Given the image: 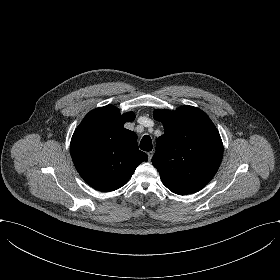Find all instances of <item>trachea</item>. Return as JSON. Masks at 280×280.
I'll use <instances>...</instances> for the list:
<instances>
[{"label":"trachea","instance_id":"trachea-1","mask_svg":"<svg viewBox=\"0 0 280 280\" xmlns=\"http://www.w3.org/2000/svg\"><path fill=\"white\" fill-rule=\"evenodd\" d=\"M140 149L144 150V151H151L152 150V140H151L150 136L145 135L141 139Z\"/></svg>","mask_w":280,"mask_h":280}]
</instances>
